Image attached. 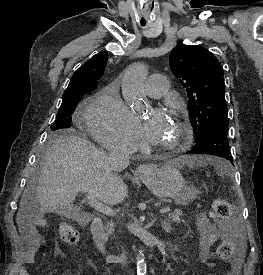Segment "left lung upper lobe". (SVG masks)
I'll use <instances>...</instances> for the list:
<instances>
[{"mask_svg":"<svg viewBox=\"0 0 263 275\" xmlns=\"http://www.w3.org/2000/svg\"><path fill=\"white\" fill-rule=\"evenodd\" d=\"M169 63L187 92L195 142L215 128L229 125L224 71L214 55L202 46L179 43L172 50Z\"/></svg>","mask_w":263,"mask_h":275,"instance_id":"obj_1","label":"left lung upper lobe"}]
</instances>
